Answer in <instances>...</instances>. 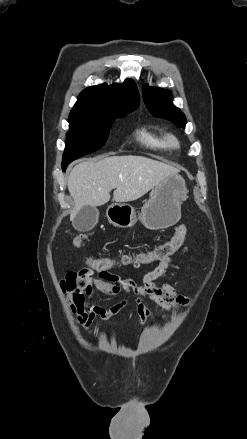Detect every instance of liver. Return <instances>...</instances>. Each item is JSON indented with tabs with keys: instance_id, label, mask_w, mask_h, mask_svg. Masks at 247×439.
Wrapping results in <instances>:
<instances>
[{
	"instance_id": "6515ba94",
	"label": "liver",
	"mask_w": 247,
	"mask_h": 439,
	"mask_svg": "<svg viewBox=\"0 0 247 439\" xmlns=\"http://www.w3.org/2000/svg\"><path fill=\"white\" fill-rule=\"evenodd\" d=\"M179 170L171 165L143 156H112L77 164L68 177V190L74 199L70 219L83 206H101L110 200L115 189L116 202L134 201L163 179Z\"/></svg>"
}]
</instances>
